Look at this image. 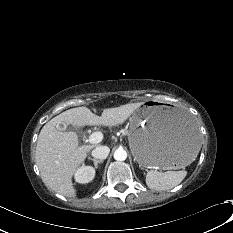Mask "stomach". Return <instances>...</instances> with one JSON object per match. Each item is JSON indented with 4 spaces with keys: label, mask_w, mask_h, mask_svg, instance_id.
I'll list each match as a JSON object with an SVG mask.
<instances>
[{
    "label": "stomach",
    "mask_w": 233,
    "mask_h": 233,
    "mask_svg": "<svg viewBox=\"0 0 233 233\" xmlns=\"http://www.w3.org/2000/svg\"><path fill=\"white\" fill-rule=\"evenodd\" d=\"M129 146L147 168L178 169L191 163L201 144L191 115L172 103L146 102L129 121Z\"/></svg>",
    "instance_id": "0dacf381"
}]
</instances>
